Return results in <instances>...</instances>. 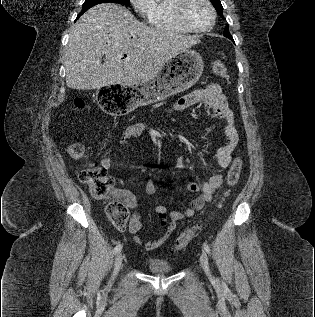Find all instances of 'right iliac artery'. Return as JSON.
I'll return each instance as SVG.
<instances>
[{
	"instance_id": "1",
	"label": "right iliac artery",
	"mask_w": 315,
	"mask_h": 317,
	"mask_svg": "<svg viewBox=\"0 0 315 317\" xmlns=\"http://www.w3.org/2000/svg\"><path fill=\"white\" fill-rule=\"evenodd\" d=\"M121 249H122V245H121V244H118V245L114 248L113 254H116V253L120 252Z\"/></svg>"
}]
</instances>
